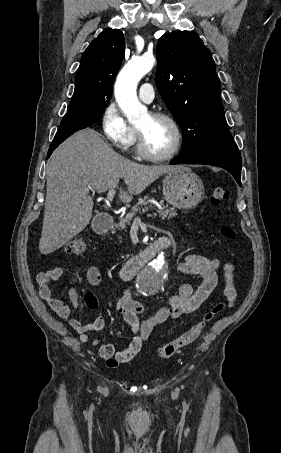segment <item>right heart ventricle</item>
I'll return each mask as SVG.
<instances>
[{"instance_id": "1", "label": "right heart ventricle", "mask_w": 281, "mask_h": 453, "mask_svg": "<svg viewBox=\"0 0 281 453\" xmlns=\"http://www.w3.org/2000/svg\"><path fill=\"white\" fill-rule=\"evenodd\" d=\"M137 140V129L135 127H131V133L128 137L127 141L124 143L125 148H129L130 146L134 145Z\"/></svg>"}]
</instances>
